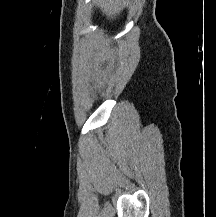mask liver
<instances>
[{
	"label": "liver",
	"instance_id": "1",
	"mask_svg": "<svg viewBox=\"0 0 216 217\" xmlns=\"http://www.w3.org/2000/svg\"><path fill=\"white\" fill-rule=\"evenodd\" d=\"M101 10L108 16L119 13L120 10L125 6L121 0H99L98 1Z\"/></svg>",
	"mask_w": 216,
	"mask_h": 217
}]
</instances>
